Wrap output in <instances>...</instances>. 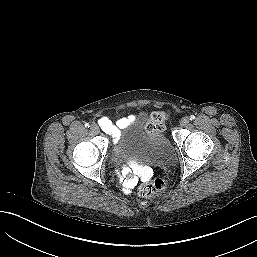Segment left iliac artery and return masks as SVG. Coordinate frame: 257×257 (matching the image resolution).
<instances>
[{"mask_svg":"<svg viewBox=\"0 0 257 257\" xmlns=\"http://www.w3.org/2000/svg\"><path fill=\"white\" fill-rule=\"evenodd\" d=\"M195 119V116L194 115H191L190 116V120H194Z\"/></svg>","mask_w":257,"mask_h":257,"instance_id":"left-iliac-artery-1","label":"left iliac artery"}]
</instances>
